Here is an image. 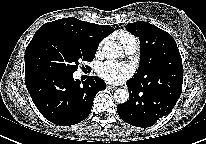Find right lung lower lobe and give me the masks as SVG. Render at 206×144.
I'll return each mask as SVG.
<instances>
[{"label":"right lung lower lobe","mask_w":206,"mask_h":144,"mask_svg":"<svg viewBox=\"0 0 206 144\" xmlns=\"http://www.w3.org/2000/svg\"><path fill=\"white\" fill-rule=\"evenodd\" d=\"M25 84L39 112L61 126L86 119L95 95L106 89V83L96 76L81 83L73 79V74L46 69L25 72Z\"/></svg>","instance_id":"obj_1"}]
</instances>
